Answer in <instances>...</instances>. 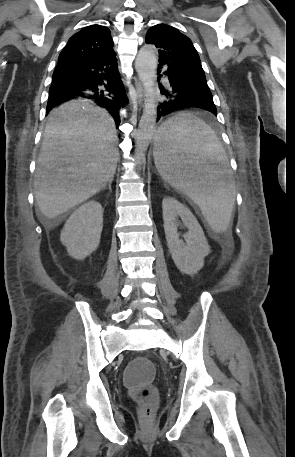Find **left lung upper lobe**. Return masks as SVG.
<instances>
[{
	"label": "left lung upper lobe",
	"instance_id": "left-lung-upper-lobe-1",
	"mask_svg": "<svg viewBox=\"0 0 295 457\" xmlns=\"http://www.w3.org/2000/svg\"><path fill=\"white\" fill-rule=\"evenodd\" d=\"M145 41L158 48L159 59L182 68L189 75H202L199 80L194 82V86L208 87L199 55L187 36L172 26L157 24L148 30ZM185 79L189 81V77H185Z\"/></svg>",
	"mask_w": 295,
	"mask_h": 457
}]
</instances>
